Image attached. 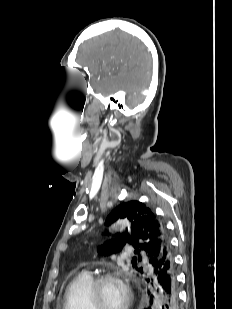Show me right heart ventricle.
<instances>
[{"mask_svg": "<svg viewBox=\"0 0 232 309\" xmlns=\"http://www.w3.org/2000/svg\"><path fill=\"white\" fill-rule=\"evenodd\" d=\"M92 281L90 273H79L66 288L63 309H91L88 293Z\"/></svg>", "mask_w": 232, "mask_h": 309, "instance_id": "1", "label": "right heart ventricle"}]
</instances>
